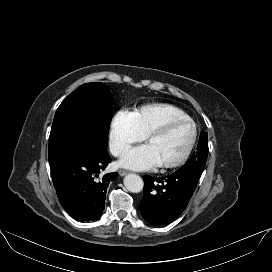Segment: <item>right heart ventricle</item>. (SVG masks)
<instances>
[{
  "label": "right heart ventricle",
  "instance_id": "obj_1",
  "mask_svg": "<svg viewBox=\"0 0 272 272\" xmlns=\"http://www.w3.org/2000/svg\"><path fill=\"white\" fill-rule=\"evenodd\" d=\"M138 130L145 136L152 129L177 118H189L188 114L177 106L167 103H154L142 106L133 112Z\"/></svg>",
  "mask_w": 272,
  "mask_h": 272
}]
</instances>
